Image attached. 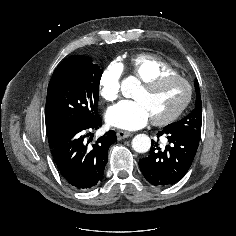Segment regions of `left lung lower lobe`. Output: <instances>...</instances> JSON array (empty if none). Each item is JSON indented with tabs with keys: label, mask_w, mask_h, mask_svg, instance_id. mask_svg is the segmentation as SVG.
I'll list each match as a JSON object with an SVG mask.
<instances>
[{
	"label": "left lung lower lobe",
	"mask_w": 236,
	"mask_h": 236,
	"mask_svg": "<svg viewBox=\"0 0 236 236\" xmlns=\"http://www.w3.org/2000/svg\"><path fill=\"white\" fill-rule=\"evenodd\" d=\"M164 135L168 144L160 148L159 137ZM158 140L152 141L150 155L139 160L145 179L155 186L177 183L189 170L195 157L200 136L191 132L168 128L157 133Z\"/></svg>",
	"instance_id": "0a47b994"
}]
</instances>
